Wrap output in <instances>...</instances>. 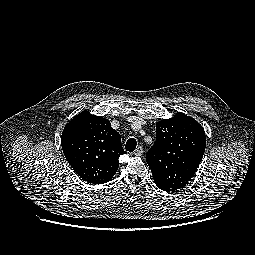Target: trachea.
Wrapping results in <instances>:
<instances>
[{
    "instance_id": "trachea-1",
    "label": "trachea",
    "mask_w": 255,
    "mask_h": 255,
    "mask_svg": "<svg viewBox=\"0 0 255 255\" xmlns=\"http://www.w3.org/2000/svg\"><path fill=\"white\" fill-rule=\"evenodd\" d=\"M136 145H137V142L134 138H130L128 139V141L126 142V146H125V149L126 151L128 152H133L135 149H136Z\"/></svg>"
}]
</instances>
